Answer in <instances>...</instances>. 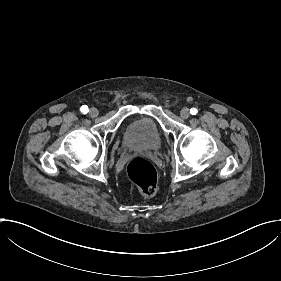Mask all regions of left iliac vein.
<instances>
[{"mask_svg": "<svg viewBox=\"0 0 281 281\" xmlns=\"http://www.w3.org/2000/svg\"><path fill=\"white\" fill-rule=\"evenodd\" d=\"M180 115H181V117L184 118V119L189 118V116H190V111H189V109L186 108V107L183 108Z\"/></svg>", "mask_w": 281, "mask_h": 281, "instance_id": "left-iliac-vein-1", "label": "left iliac vein"}]
</instances>
